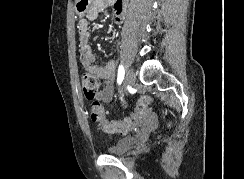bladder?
Wrapping results in <instances>:
<instances>
[{
	"label": "bladder",
	"instance_id": "obj_1",
	"mask_svg": "<svg viewBox=\"0 0 244 179\" xmlns=\"http://www.w3.org/2000/svg\"><path fill=\"white\" fill-rule=\"evenodd\" d=\"M136 141V135L121 138L117 140V143L113 147L108 149V153L112 156H124L132 150Z\"/></svg>",
	"mask_w": 244,
	"mask_h": 179
}]
</instances>
